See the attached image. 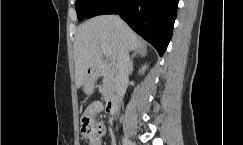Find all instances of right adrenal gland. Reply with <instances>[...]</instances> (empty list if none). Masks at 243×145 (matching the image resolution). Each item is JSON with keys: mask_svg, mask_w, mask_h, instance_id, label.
<instances>
[{"mask_svg": "<svg viewBox=\"0 0 243 145\" xmlns=\"http://www.w3.org/2000/svg\"><path fill=\"white\" fill-rule=\"evenodd\" d=\"M146 55H147V49L145 47H141V48L135 50V52L132 55V59H131L132 64H133L135 57H138V56L145 57Z\"/></svg>", "mask_w": 243, "mask_h": 145, "instance_id": "2a0ac1e0", "label": "right adrenal gland"}]
</instances>
